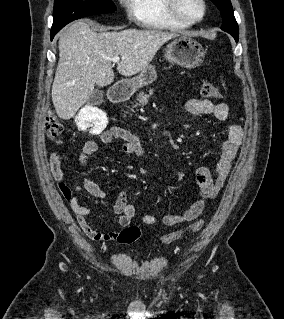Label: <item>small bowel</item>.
I'll list each match as a JSON object with an SVG mask.
<instances>
[{
  "mask_svg": "<svg viewBox=\"0 0 284 319\" xmlns=\"http://www.w3.org/2000/svg\"><path fill=\"white\" fill-rule=\"evenodd\" d=\"M185 110L190 115H212L218 120L224 121L229 116V107L225 103H213L209 100L191 99L185 104ZM99 140L104 144H111L115 140H121L122 144L118 150L130 154L141 156L144 149L137 135L117 126H113L103 131ZM242 140V128L239 125H230L226 137L220 146L219 158L214 171L201 167L196 170L195 179L198 186L197 199L184 211L179 213H169L163 216L162 222L167 226H176L196 219L204 210L208 200L217 197L232 169L233 162L237 155ZM61 142L58 141V144ZM98 150V142L94 139L88 140L79 155V162L86 166L89 158ZM68 161V157L60 151H54L50 156L51 172L57 187L63 197L69 203L76 215L77 222L84 234L93 241L107 242L117 240L119 231L101 233L93 229L88 223L90 209L80 204L76 192L84 189L91 195L103 198L104 190L92 178H86L82 185L71 184L68 182L63 165ZM177 179H182L184 174L176 172ZM113 212L117 214V224L121 227L129 225L136 216V208L128 202L127 195L121 191L113 206ZM142 221L147 225L157 223L154 215H144Z\"/></svg>",
  "mask_w": 284,
  "mask_h": 319,
  "instance_id": "small-bowel-1",
  "label": "small bowel"
}]
</instances>
